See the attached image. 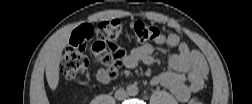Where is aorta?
Listing matches in <instances>:
<instances>
[{"label": "aorta", "mask_w": 252, "mask_h": 104, "mask_svg": "<svg viewBox=\"0 0 252 104\" xmlns=\"http://www.w3.org/2000/svg\"><path fill=\"white\" fill-rule=\"evenodd\" d=\"M127 94L130 96H135L138 94L139 89L135 84H130L126 87Z\"/></svg>", "instance_id": "obj_1"}]
</instances>
